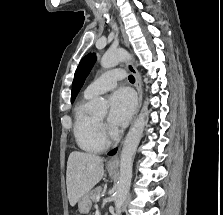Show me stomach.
Wrapping results in <instances>:
<instances>
[{
	"label": "stomach",
	"mask_w": 223,
	"mask_h": 215,
	"mask_svg": "<svg viewBox=\"0 0 223 215\" xmlns=\"http://www.w3.org/2000/svg\"><path fill=\"white\" fill-rule=\"evenodd\" d=\"M106 169H108L110 175H113V173H115L116 171V167H109V165H107ZM88 193H85V195H82V197H80L79 201H78V207H79V211H81V213H88L90 207H91V203L88 200Z\"/></svg>",
	"instance_id": "stomach-1"
}]
</instances>
